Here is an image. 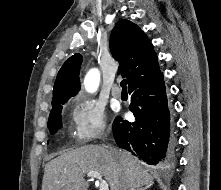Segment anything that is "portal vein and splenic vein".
Segmentation results:
<instances>
[{"mask_svg":"<svg viewBox=\"0 0 221 190\" xmlns=\"http://www.w3.org/2000/svg\"><path fill=\"white\" fill-rule=\"evenodd\" d=\"M87 177L91 178V179L96 178V179L100 180L99 190H109L108 183L105 180L102 179V176L99 172H96V171L88 172Z\"/></svg>","mask_w":221,"mask_h":190,"instance_id":"portal-vein-and-splenic-vein-1","label":"portal vein and splenic vein"}]
</instances>
